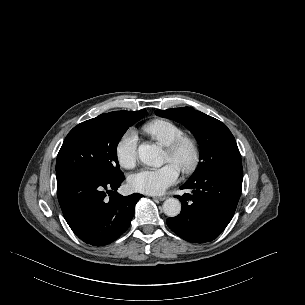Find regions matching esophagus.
Here are the masks:
<instances>
[{
    "instance_id": "obj_1",
    "label": "esophagus",
    "mask_w": 305,
    "mask_h": 305,
    "mask_svg": "<svg viewBox=\"0 0 305 305\" xmlns=\"http://www.w3.org/2000/svg\"><path fill=\"white\" fill-rule=\"evenodd\" d=\"M154 199L159 200V201H164L167 199V197L166 196H156V197H154Z\"/></svg>"
}]
</instances>
